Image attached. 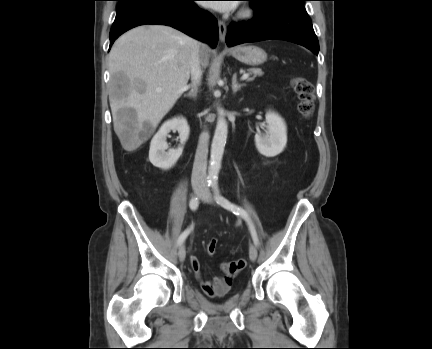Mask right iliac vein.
I'll return each instance as SVG.
<instances>
[{
	"label": "right iliac vein",
	"mask_w": 432,
	"mask_h": 349,
	"mask_svg": "<svg viewBox=\"0 0 432 349\" xmlns=\"http://www.w3.org/2000/svg\"><path fill=\"white\" fill-rule=\"evenodd\" d=\"M202 193H203V189L202 188L197 187V188L194 189V194L196 196H201ZM178 256H179L180 260H184L185 259V257H186V249H185L184 244L180 245L179 250H178Z\"/></svg>",
	"instance_id": "right-iliac-vein-1"
}]
</instances>
